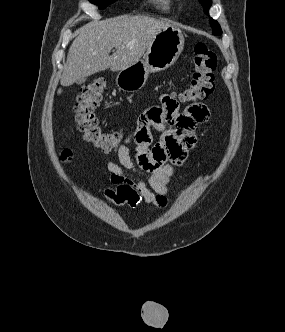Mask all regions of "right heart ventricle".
<instances>
[{"label":"right heart ventricle","instance_id":"right-heart-ventricle-1","mask_svg":"<svg viewBox=\"0 0 285 332\" xmlns=\"http://www.w3.org/2000/svg\"><path fill=\"white\" fill-rule=\"evenodd\" d=\"M156 9L168 13L171 8V1L170 0H152Z\"/></svg>","mask_w":285,"mask_h":332}]
</instances>
